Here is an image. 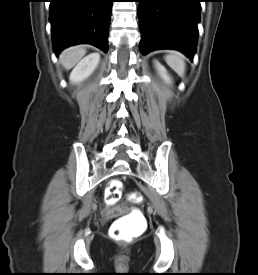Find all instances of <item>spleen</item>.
<instances>
[{
  "label": "spleen",
  "instance_id": "3e777b00",
  "mask_svg": "<svg viewBox=\"0 0 258 275\" xmlns=\"http://www.w3.org/2000/svg\"><path fill=\"white\" fill-rule=\"evenodd\" d=\"M165 61L180 77H184L186 64L185 57L182 53L170 51V53L165 56Z\"/></svg>",
  "mask_w": 258,
  "mask_h": 275
}]
</instances>
